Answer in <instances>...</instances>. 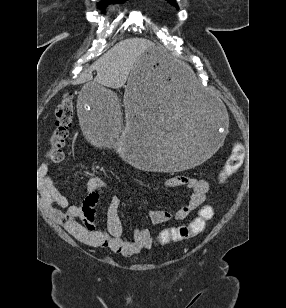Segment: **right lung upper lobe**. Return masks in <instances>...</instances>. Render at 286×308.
<instances>
[{
    "instance_id": "obj_1",
    "label": "right lung upper lobe",
    "mask_w": 286,
    "mask_h": 308,
    "mask_svg": "<svg viewBox=\"0 0 286 308\" xmlns=\"http://www.w3.org/2000/svg\"><path fill=\"white\" fill-rule=\"evenodd\" d=\"M110 1L119 2V1H124V0H103V4H101V5H104V4H106V2H110Z\"/></svg>"
}]
</instances>
